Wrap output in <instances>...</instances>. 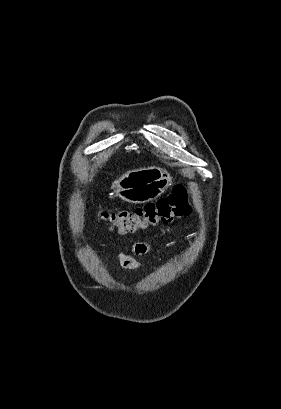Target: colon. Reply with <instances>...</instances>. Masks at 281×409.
I'll use <instances>...</instances> for the list:
<instances>
[{"label": "colon", "mask_w": 281, "mask_h": 409, "mask_svg": "<svg viewBox=\"0 0 281 409\" xmlns=\"http://www.w3.org/2000/svg\"><path fill=\"white\" fill-rule=\"evenodd\" d=\"M187 191L182 185L173 193L131 209L103 212V219L109 221L119 233L127 234L145 229L149 226L173 221L189 212L186 200Z\"/></svg>", "instance_id": "5ec220e1"}]
</instances>
